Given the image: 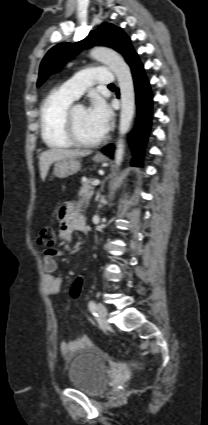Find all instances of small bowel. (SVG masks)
I'll return each instance as SVG.
<instances>
[{"mask_svg": "<svg viewBox=\"0 0 208 425\" xmlns=\"http://www.w3.org/2000/svg\"><path fill=\"white\" fill-rule=\"evenodd\" d=\"M59 236L64 241H70L73 233L85 228V220L83 216L78 213L75 208L67 203L59 212ZM58 252L46 251L43 257V268L46 272L44 277L45 289L49 295H56L60 293L63 280L60 276L54 274L57 269V263L54 258ZM91 346V341L88 336L82 335L74 341H63L60 344V350L63 355L71 356L78 350Z\"/></svg>", "mask_w": 208, "mask_h": 425, "instance_id": "small-bowel-1", "label": "small bowel"}]
</instances>
